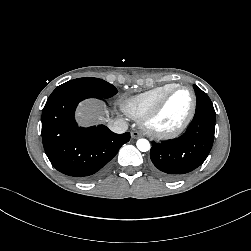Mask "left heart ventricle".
Here are the masks:
<instances>
[{"label":"left heart ventricle","instance_id":"1","mask_svg":"<svg viewBox=\"0 0 251 251\" xmlns=\"http://www.w3.org/2000/svg\"><path fill=\"white\" fill-rule=\"evenodd\" d=\"M191 103L192 97L189 91L184 89L175 91L155 119L154 127L159 130H172L178 127L186 118Z\"/></svg>","mask_w":251,"mask_h":251}]
</instances>
